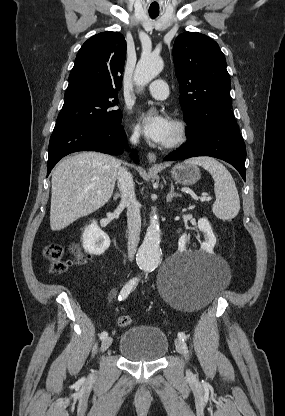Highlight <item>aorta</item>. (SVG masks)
<instances>
[{"label": "aorta", "instance_id": "762f6f07", "mask_svg": "<svg viewBox=\"0 0 285 416\" xmlns=\"http://www.w3.org/2000/svg\"><path fill=\"white\" fill-rule=\"evenodd\" d=\"M163 66L164 63L158 56H142L134 72L136 86L141 89L147 85L162 71ZM160 239L159 219L156 213H152L144 241L136 256L137 264L144 272L154 271L161 261Z\"/></svg>", "mask_w": 285, "mask_h": 416}]
</instances>
